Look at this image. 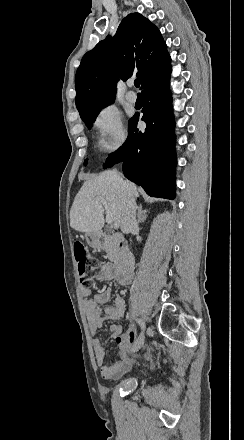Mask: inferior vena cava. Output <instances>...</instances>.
<instances>
[{
    "instance_id": "602c4592",
    "label": "inferior vena cava",
    "mask_w": 244,
    "mask_h": 440,
    "mask_svg": "<svg viewBox=\"0 0 244 440\" xmlns=\"http://www.w3.org/2000/svg\"><path fill=\"white\" fill-rule=\"evenodd\" d=\"M117 178L120 184L127 188L123 178L120 176V172H117ZM125 200L126 206L122 212L120 228L123 234H129V232H133V230H138V224L136 222V202L133 196H126Z\"/></svg>"
}]
</instances>
